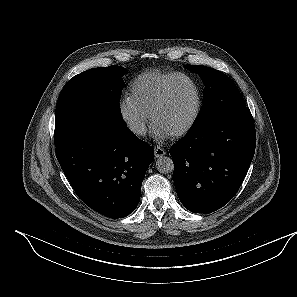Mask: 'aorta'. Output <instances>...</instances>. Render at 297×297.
<instances>
[{"instance_id":"762f6f07","label":"aorta","mask_w":297,"mask_h":297,"mask_svg":"<svg viewBox=\"0 0 297 297\" xmlns=\"http://www.w3.org/2000/svg\"><path fill=\"white\" fill-rule=\"evenodd\" d=\"M156 168L160 173H170L174 169V163L170 157L160 156L156 161Z\"/></svg>"}]
</instances>
